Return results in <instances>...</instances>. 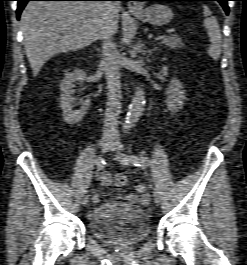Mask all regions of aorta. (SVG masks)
<instances>
[{"mask_svg":"<svg viewBox=\"0 0 247 265\" xmlns=\"http://www.w3.org/2000/svg\"><path fill=\"white\" fill-rule=\"evenodd\" d=\"M144 105L145 93L141 86H137L127 113V120L124 125L126 129L132 128L138 122L143 114Z\"/></svg>","mask_w":247,"mask_h":265,"instance_id":"aorta-1","label":"aorta"}]
</instances>
